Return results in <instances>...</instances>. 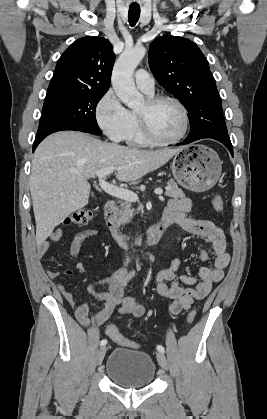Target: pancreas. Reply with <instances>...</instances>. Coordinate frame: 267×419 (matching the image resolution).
I'll list each match as a JSON object with an SVG mask.
<instances>
[{
  "mask_svg": "<svg viewBox=\"0 0 267 419\" xmlns=\"http://www.w3.org/2000/svg\"><path fill=\"white\" fill-rule=\"evenodd\" d=\"M169 189L166 191V196L174 199L185 197L184 192L178 187L176 182L170 180L167 182ZM134 210L131 208V203L124 202L121 204L120 209L115 214V220L117 224H126L133 217Z\"/></svg>",
  "mask_w": 267,
  "mask_h": 419,
  "instance_id": "cf45deb5",
  "label": "pancreas"
}]
</instances>
